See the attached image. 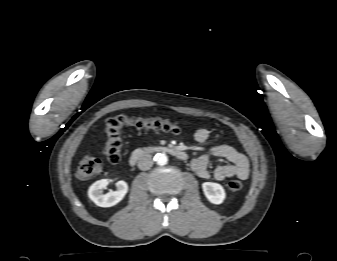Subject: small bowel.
Returning a JSON list of instances; mask_svg holds the SVG:
<instances>
[{
    "label": "small bowel",
    "instance_id": "obj_1",
    "mask_svg": "<svg viewBox=\"0 0 337 261\" xmlns=\"http://www.w3.org/2000/svg\"><path fill=\"white\" fill-rule=\"evenodd\" d=\"M194 138L197 142L204 143L209 138V131L200 128L195 132ZM212 158H223L229 163L219 165L211 171L209 163ZM191 168L200 178H214L218 181L231 177L244 180L248 178L250 173L249 160L246 155L229 145H217L209 148L191 160Z\"/></svg>",
    "mask_w": 337,
    "mask_h": 261
}]
</instances>
